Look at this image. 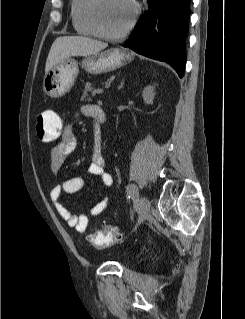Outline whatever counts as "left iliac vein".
<instances>
[{"label":"left iliac vein","instance_id":"obj_1","mask_svg":"<svg viewBox=\"0 0 245 319\" xmlns=\"http://www.w3.org/2000/svg\"><path fill=\"white\" fill-rule=\"evenodd\" d=\"M139 211H140V214L138 217V224H141L148 217L150 212V203L148 199L144 196L140 198Z\"/></svg>","mask_w":245,"mask_h":319}]
</instances>
